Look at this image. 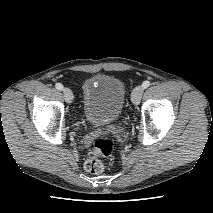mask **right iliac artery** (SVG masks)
Segmentation results:
<instances>
[{"label": "right iliac artery", "instance_id": "obj_1", "mask_svg": "<svg viewBox=\"0 0 213 213\" xmlns=\"http://www.w3.org/2000/svg\"><path fill=\"white\" fill-rule=\"evenodd\" d=\"M55 87L58 89V90H63V85L61 83H56L55 84Z\"/></svg>", "mask_w": 213, "mask_h": 213}]
</instances>
